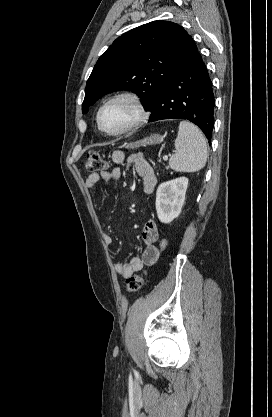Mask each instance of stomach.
I'll list each match as a JSON object with an SVG mask.
<instances>
[{"mask_svg":"<svg viewBox=\"0 0 272 417\" xmlns=\"http://www.w3.org/2000/svg\"><path fill=\"white\" fill-rule=\"evenodd\" d=\"M163 141V137L159 135H152L150 137H146L140 141L135 142L134 144H131L130 147H139V146H146V145H152V144H158Z\"/></svg>","mask_w":272,"mask_h":417,"instance_id":"1","label":"stomach"}]
</instances>
